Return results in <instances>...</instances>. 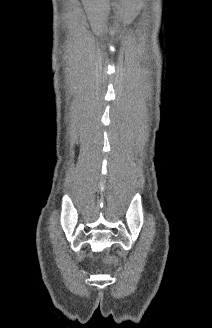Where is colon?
Returning <instances> with one entry per match:
<instances>
[{"mask_svg": "<svg viewBox=\"0 0 212 328\" xmlns=\"http://www.w3.org/2000/svg\"><path fill=\"white\" fill-rule=\"evenodd\" d=\"M108 262L110 263V264H112L113 266H117V260L116 259H114V258H108Z\"/></svg>", "mask_w": 212, "mask_h": 328, "instance_id": "1", "label": "colon"}]
</instances>
